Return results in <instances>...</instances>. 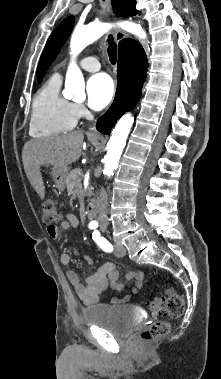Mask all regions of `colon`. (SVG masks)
<instances>
[{
	"mask_svg": "<svg viewBox=\"0 0 221 379\" xmlns=\"http://www.w3.org/2000/svg\"><path fill=\"white\" fill-rule=\"evenodd\" d=\"M60 218L57 204L52 200H47L42 207V222L48 228L54 227ZM150 311L153 315L166 313L171 317H179L184 310L183 298L175 292L173 288H168L164 298H154L150 304ZM170 332V323L165 320H155L149 327L140 333V339L144 342H152L165 337Z\"/></svg>",
	"mask_w": 221,
	"mask_h": 379,
	"instance_id": "5ec220e1",
	"label": "colon"
}]
</instances>
